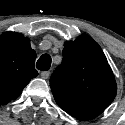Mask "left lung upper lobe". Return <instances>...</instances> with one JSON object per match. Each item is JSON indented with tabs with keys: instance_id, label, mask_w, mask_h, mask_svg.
Returning a JSON list of instances; mask_svg holds the SVG:
<instances>
[{
	"instance_id": "obj_1",
	"label": "left lung upper lobe",
	"mask_w": 125,
	"mask_h": 125,
	"mask_svg": "<svg viewBox=\"0 0 125 125\" xmlns=\"http://www.w3.org/2000/svg\"><path fill=\"white\" fill-rule=\"evenodd\" d=\"M50 86L57 104L81 120L100 115L117 93L104 53L88 35L65 43L63 61L51 76Z\"/></svg>"
}]
</instances>
